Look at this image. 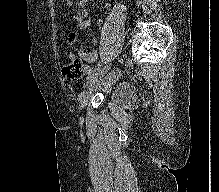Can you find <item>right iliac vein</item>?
<instances>
[{"label": "right iliac vein", "instance_id": "63e3f726", "mask_svg": "<svg viewBox=\"0 0 219 192\" xmlns=\"http://www.w3.org/2000/svg\"><path fill=\"white\" fill-rule=\"evenodd\" d=\"M111 64L105 65L100 70L96 71L87 81L84 86V90L79 95V102L82 106H85L89 100L91 90L93 89L96 82L101 79L107 71L110 69Z\"/></svg>", "mask_w": 219, "mask_h": 192}]
</instances>
